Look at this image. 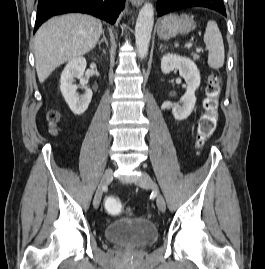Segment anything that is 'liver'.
I'll return each instance as SVG.
<instances>
[{
  "label": "liver",
  "mask_w": 265,
  "mask_h": 269,
  "mask_svg": "<svg viewBox=\"0 0 265 269\" xmlns=\"http://www.w3.org/2000/svg\"><path fill=\"white\" fill-rule=\"evenodd\" d=\"M102 32L101 21L90 15L67 14L44 23L34 42L39 81L43 83L61 64L93 49Z\"/></svg>",
  "instance_id": "6515ba94"
}]
</instances>
